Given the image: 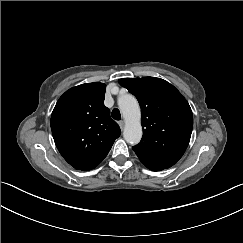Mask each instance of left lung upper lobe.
Here are the masks:
<instances>
[{"label": "left lung upper lobe", "mask_w": 243, "mask_h": 243, "mask_svg": "<svg viewBox=\"0 0 243 243\" xmlns=\"http://www.w3.org/2000/svg\"><path fill=\"white\" fill-rule=\"evenodd\" d=\"M141 107L143 137L133 147L141 162L154 170L168 169L184 154L192 133L193 115L182 94L154 77L119 79Z\"/></svg>", "instance_id": "left-lung-upper-lobe-1"}]
</instances>
